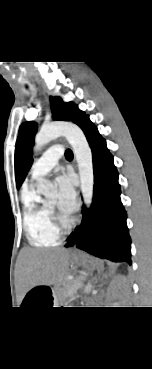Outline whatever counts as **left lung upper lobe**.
Instances as JSON below:
<instances>
[{
	"instance_id": "1",
	"label": "left lung upper lobe",
	"mask_w": 152,
	"mask_h": 369,
	"mask_svg": "<svg viewBox=\"0 0 152 369\" xmlns=\"http://www.w3.org/2000/svg\"><path fill=\"white\" fill-rule=\"evenodd\" d=\"M53 118L61 121H72L77 125L88 117L73 103H64L61 98H51ZM37 126L34 122H25L20 126L19 136L15 148V177L16 186L19 188L27 175L33 162L32 146Z\"/></svg>"
}]
</instances>
